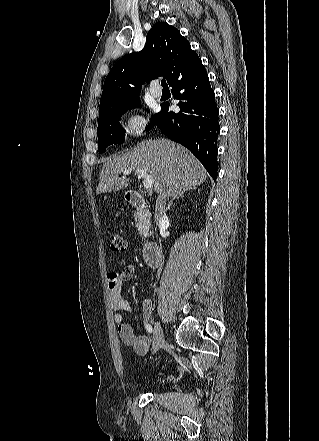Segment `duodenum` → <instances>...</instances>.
<instances>
[{
    "mask_svg": "<svg viewBox=\"0 0 319 441\" xmlns=\"http://www.w3.org/2000/svg\"><path fill=\"white\" fill-rule=\"evenodd\" d=\"M126 200L130 205L139 209L148 207L147 200L137 191L128 192L126 194ZM142 255L144 260L153 268L159 267L162 262V253L154 243H145L142 249Z\"/></svg>",
    "mask_w": 319,
    "mask_h": 441,
    "instance_id": "410a0bca",
    "label": "duodenum"
}]
</instances>
